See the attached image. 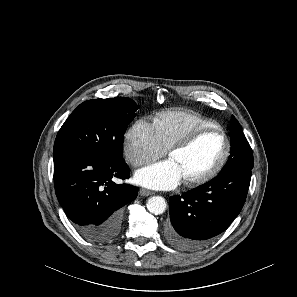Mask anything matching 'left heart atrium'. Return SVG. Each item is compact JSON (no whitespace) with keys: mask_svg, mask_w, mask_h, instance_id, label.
<instances>
[{"mask_svg":"<svg viewBox=\"0 0 297 297\" xmlns=\"http://www.w3.org/2000/svg\"><path fill=\"white\" fill-rule=\"evenodd\" d=\"M184 179L179 165L172 159L160 161L140 169L135 181L148 188L169 190L178 186Z\"/></svg>","mask_w":297,"mask_h":297,"instance_id":"39dd6f15","label":"left heart atrium"}]
</instances>
